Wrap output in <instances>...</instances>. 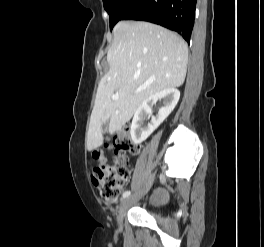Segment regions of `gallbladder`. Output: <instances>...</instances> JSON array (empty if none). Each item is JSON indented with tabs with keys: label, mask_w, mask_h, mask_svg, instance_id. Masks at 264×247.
<instances>
[{
	"label": "gallbladder",
	"mask_w": 264,
	"mask_h": 247,
	"mask_svg": "<svg viewBox=\"0 0 264 247\" xmlns=\"http://www.w3.org/2000/svg\"><path fill=\"white\" fill-rule=\"evenodd\" d=\"M108 121H105V123L103 124L104 126H102V131L101 133H105V127H107Z\"/></svg>",
	"instance_id": "obj_1"
}]
</instances>
